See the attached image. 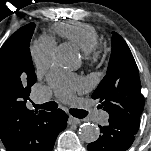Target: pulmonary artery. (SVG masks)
Returning a JSON list of instances; mask_svg holds the SVG:
<instances>
[{
  "instance_id": "1",
  "label": "pulmonary artery",
  "mask_w": 151,
  "mask_h": 151,
  "mask_svg": "<svg viewBox=\"0 0 151 151\" xmlns=\"http://www.w3.org/2000/svg\"><path fill=\"white\" fill-rule=\"evenodd\" d=\"M49 98H50V93L44 89L37 93L35 99L37 103H44L48 101ZM94 119L98 123H105L108 119V115L105 112H99L98 114L94 116Z\"/></svg>"
}]
</instances>
